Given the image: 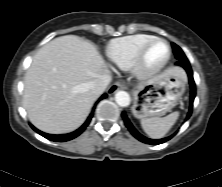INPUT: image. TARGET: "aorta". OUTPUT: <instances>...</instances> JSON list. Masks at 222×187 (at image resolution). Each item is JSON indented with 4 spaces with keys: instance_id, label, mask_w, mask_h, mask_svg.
<instances>
[{
    "instance_id": "obj_1",
    "label": "aorta",
    "mask_w": 222,
    "mask_h": 187,
    "mask_svg": "<svg viewBox=\"0 0 222 187\" xmlns=\"http://www.w3.org/2000/svg\"><path fill=\"white\" fill-rule=\"evenodd\" d=\"M115 101L121 107H127L130 104V96L126 91H118L115 94Z\"/></svg>"
}]
</instances>
